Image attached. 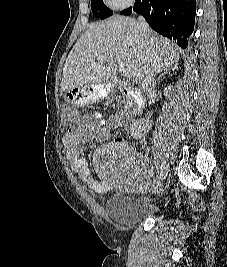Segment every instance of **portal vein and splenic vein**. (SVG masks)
<instances>
[{
  "label": "portal vein and splenic vein",
  "instance_id": "1",
  "mask_svg": "<svg viewBox=\"0 0 227 267\" xmlns=\"http://www.w3.org/2000/svg\"><path fill=\"white\" fill-rule=\"evenodd\" d=\"M100 60H105L104 58L100 57ZM120 72L124 75L126 79H131L133 77L132 69L125 65L124 62L119 61L118 63Z\"/></svg>",
  "mask_w": 227,
  "mask_h": 267
}]
</instances>
